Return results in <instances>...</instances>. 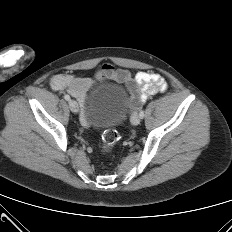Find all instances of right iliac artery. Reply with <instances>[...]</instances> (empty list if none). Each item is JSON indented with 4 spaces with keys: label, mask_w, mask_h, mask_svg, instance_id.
<instances>
[{
    "label": "right iliac artery",
    "mask_w": 232,
    "mask_h": 232,
    "mask_svg": "<svg viewBox=\"0 0 232 232\" xmlns=\"http://www.w3.org/2000/svg\"><path fill=\"white\" fill-rule=\"evenodd\" d=\"M64 99L67 100V101H69L70 100V96L66 94V95H64Z\"/></svg>",
    "instance_id": "right-iliac-artery-1"
}]
</instances>
